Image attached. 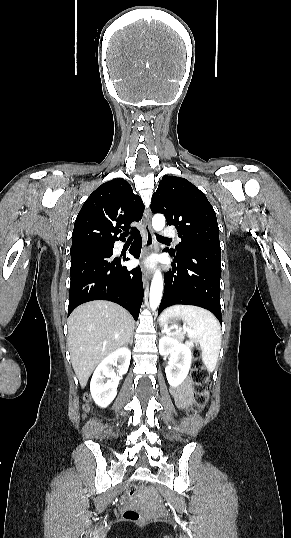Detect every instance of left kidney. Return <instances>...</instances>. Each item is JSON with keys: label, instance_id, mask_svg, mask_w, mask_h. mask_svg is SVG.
Here are the masks:
<instances>
[{"label": "left kidney", "instance_id": "left-kidney-1", "mask_svg": "<svg viewBox=\"0 0 291 538\" xmlns=\"http://www.w3.org/2000/svg\"><path fill=\"white\" fill-rule=\"evenodd\" d=\"M159 353L165 357L171 355L173 358V361L165 367L168 383L172 387L181 385L191 366L190 344H182L172 337L163 336L159 340Z\"/></svg>", "mask_w": 291, "mask_h": 538}]
</instances>
